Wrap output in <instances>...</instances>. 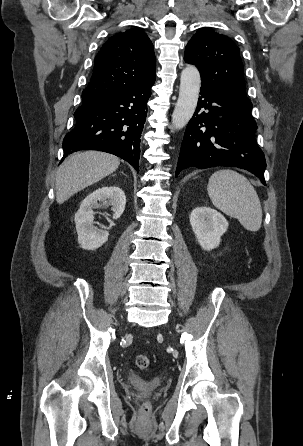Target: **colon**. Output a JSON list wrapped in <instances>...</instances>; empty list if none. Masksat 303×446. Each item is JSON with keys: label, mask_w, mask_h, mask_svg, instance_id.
<instances>
[{"label": "colon", "mask_w": 303, "mask_h": 446, "mask_svg": "<svg viewBox=\"0 0 303 446\" xmlns=\"http://www.w3.org/2000/svg\"><path fill=\"white\" fill-rule=\"evenodd\" d=\"M135 364L137 366V368L141 369V370H146L150 367L151 365V361L150 358L145 355V354H138L135 357ZM150 410V404L149 403H144L142 406V411L144 413H148Z\"/></svg>", "instance_id": "1"}]
</instances>
